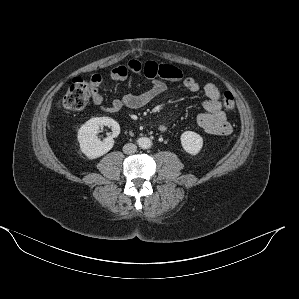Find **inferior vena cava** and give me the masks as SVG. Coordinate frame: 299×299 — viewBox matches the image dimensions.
<instances>
[{
    "mask_svg": "<svg viewBox=\"0 0 299 299\" xmlns=\"http://www.w3.org/2000/svg\"><path fill=\"white\" fill-rule=\"evenodd\" d=\"M137 150V146L133 143H127L123 147V152L125 154H134Z\"/></svg>",
    "mask_w": 299,
    "mask_h": 299,
    "instance_id": "obj_1",
    "label": "inferior vena cava"
}]
</instances>
